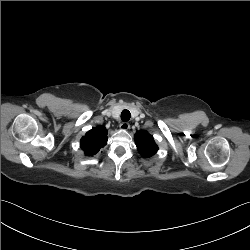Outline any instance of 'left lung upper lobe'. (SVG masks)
<instances>
[{"label":"left lung upper lobe","instance_id":"left-lung-upper-lobe-1","mask_svg":"<svg viewBox=\"0 0 250 250\" xmlns=\"http://www.w3.org/2000/svg\"><path fill=\"white\" fill-rule=\"evenodd\" d=\"M136 146L144 157H150L158 150L153 137L146 131H139L135 134Z\"/></svg>","mask_w":250,"mask_h":250}]
</instances>
